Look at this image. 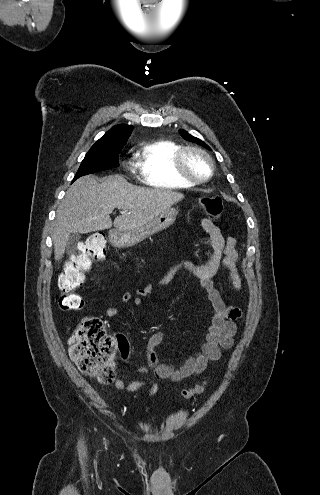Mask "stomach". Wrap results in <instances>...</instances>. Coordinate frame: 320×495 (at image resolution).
Segmentation results:
<instances>
[{"instance_id": "stomach-1", "label": "stomach", "mask_w": 320, "mask_h": 495, "mask_svg": "<svg viewBox=\"0 0 320 495\" xmlns=\"http://www.w3.org/2000/svg\"><path fill=\"white\" fill-rule=\"evenodd\" d=\"M178 210L169 207L149 223L131 230L110 232V242L119 248L134 246L150 235L167 229L176 220Z\"/></svg>"}]
</instances>
